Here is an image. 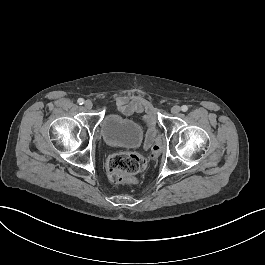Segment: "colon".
<instances>
[{"mask_svg": "<svg viewBox=\"0 0 265 265\" xmlns=\"http://www.w3.org/2000/svg\"><path fill=\"white\" fill-rule=\"evenodd\" d=\"M160 151V146L156 144L149 159H156ZM144 157L147 159V156L137 152H119L111 155L107 160V174L115 183L135 185V176L143 172L147 164V160L145 162L142 160Z\"/></svg>", "mask_w": 265, "mask_h": 265, "instance_id": "1", "label": "colon"}]
</instances>
